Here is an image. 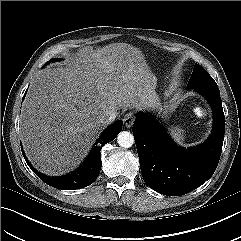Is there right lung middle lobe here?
<instances>
[{"mask_svg":"<svg viewBox=\"0 0 241 241\" xmlns=\"http://www.w3.org/2000/svg\"><path fill=\"white\" fill-rule=\"evenodd\" d=\"M57 60H58V59L53 58V59H51L50 61H57ZM50 61H48V63H49Z\"/></svg>","mask_w":241,"mask_h":241,"instance_id":"dd1d6c3e","label":"right lung middle lobe"}]
</instances>
